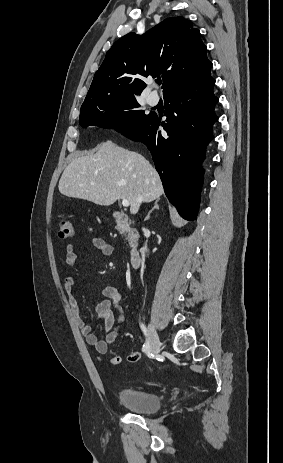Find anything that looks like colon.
Wrapping results in <instances>:
<instances>
[{
    "mask_svg": "<svg viewBox=\"0 0 283 463\" xmlns=\"http://www.w3.org/2000/svg\"><path fill=\"white\" fill-rule=\"evenodd\" d=\"M74 235V227L69 219H63L59 223L58 236L61 239H69Z\"/></svg>",
    "mask_w": 283,
    "mask_h": 463,
    "instance_id": "5ec220e1",
    "label": "colon"
}]
</instances>
